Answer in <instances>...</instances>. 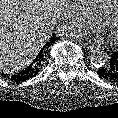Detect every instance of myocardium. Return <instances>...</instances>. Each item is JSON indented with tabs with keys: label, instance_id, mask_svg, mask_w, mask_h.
Returning <instances> with one entry per match:
<instances>
[{
	"label": "myocardium",
	"instance_id": "myocardium-1",
	"mask_svg": "<svg viewBox=\"0 0 118 118\" xmlns=\"http://www.w3.org/2000/svg\"><path fill=\"white\" fill-rule=\"evenodd\" d=\"M118 0H113L110 4L105 16L102 19H95L98 28L105 29L112 43L118 45V34H114V28L118 21Z\"/></svg>",
	"mask_w": 118,
	"mask_h": 118
}]
</instances>
